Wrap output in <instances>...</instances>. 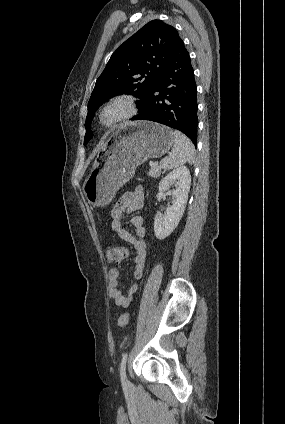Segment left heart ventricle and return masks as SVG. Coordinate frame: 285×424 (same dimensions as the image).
I'll return each instance as SVG.
<instances>
[{"mask_svg":"<svg viewBox=\"0 0 285 424\" xmlns=\"http://www.w3.org/2000/svg\"><path fill=\"white\" fill-rule=\"evenodd\" d=\"M120 112H121V110H120L119 108L112 109V110H110V111L107 113V118H108V119L114 118V117H115L116 115H118Z\"/></svg>","mask_w":285,"mask_h":424,"instance_id":"obj_1","label":"left heart ventricle"}]
</instances>
